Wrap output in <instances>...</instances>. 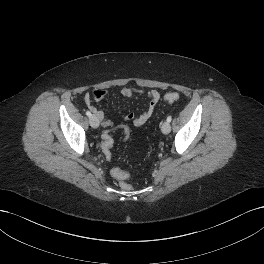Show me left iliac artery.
I'll return each mask as SVG.
<instances>
[{
  "mask_svg": "<svg viewBox=\"0 0 264 264\" xmlns=\"http://www.w3.org/2000/svg\"><path fill=\"white\" fill-rule=\"evenodd\" d=\"M171 120H172V117H171V116H168V117H167V121H168V122H171Z\"/></svg>",
  "mask_w": 264,
  "mask_h": 264,
  "instance_id": "44dca946",
  "label": "left iliac artery"
}]
</instances>
